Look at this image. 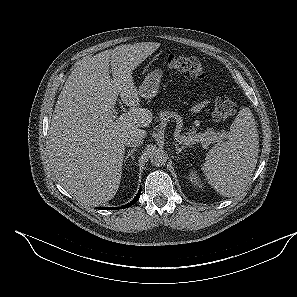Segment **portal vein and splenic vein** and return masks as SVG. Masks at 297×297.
Listing matches in <instances>:
<instances>
[{
    "mask_svg": "<svg viewBox=\"0 0 297 297\" xmlns=\"http://www.w3.org/2000/svg\"><path fill=\"white\" fill-rule=\"evenodd\" d=\"M214 134V133H213ZM214 138H216V135L213 136ZM176 139L180 142V143H186L187 144V141H192L193 139L192 138H185V137H180V136H176Z\"/></svg>",
    "mask_w": 297,
    "mask_h": 297,
    "instance_id": "obj_1",
    "label": "portal vein and splenic vein"
}]
</instances>
